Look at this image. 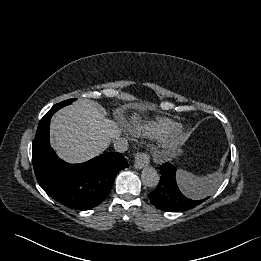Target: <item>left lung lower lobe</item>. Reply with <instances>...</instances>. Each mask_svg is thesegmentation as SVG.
I'll return each mask as SVG.
<instances>
[{
  "label": "left lung lower lobe",
  "instance_id": "obj_1",
  "mask_svg": "<svg viewBox=\"0 0 261 261\" xmlns=\"http://www.w3.org/2000/svg\"><path fill=\"white\" fill-rule=\"evenodd\" d=\"M230 159V158H229ZM161 178L157 188L148 196L155 207L164 211H185L192 209L209 197L201 200L191 198V195H203L206 189L179 185L176 168L170 163H164L160 167Z\"/></svg>",
  "mask_w": 261,
  "mask_h": 261
}]
</instances>
